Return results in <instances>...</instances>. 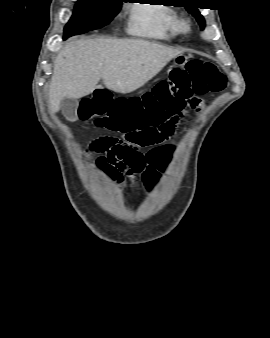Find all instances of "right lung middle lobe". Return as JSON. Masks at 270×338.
<instances>
[{
	"label": "right lung middle lobe",
	"mask_w": 270,
	"mask_h": 338,
	"mask_svg": "<svg viewBox=\"0 0 270 338\" xmlns=\"http://www.w3.org/2000/svg\"><path fill=\"white\" fill-rule=\"evenodd\" d=\"M123 0H78L64 28V39L107 25L119 12Z\"/></svg>",
	"instance_id": "obj_1"
}]
</instances>
